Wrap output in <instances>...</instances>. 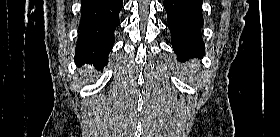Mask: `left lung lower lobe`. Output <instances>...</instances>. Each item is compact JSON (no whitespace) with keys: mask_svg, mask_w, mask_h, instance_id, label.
<instances>
[{"mask_svg":"<svg viewBox=\"0 0 280 137\" xmlns=\"http://www.w3.org/2000/svg\"><path fill=\"white\" fill-rule=\"evenodd\" d=\"M164 8L172 46L178 57L203 55L205 49L200 31L204 23L202 0H164Z\"/></svg>","mask_w":280,"mask_h":137,"instance_id":"obj_1","label":"left lung lower lobe"}]
</instances>
